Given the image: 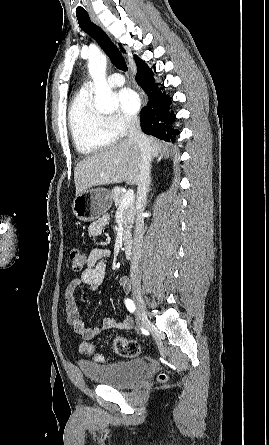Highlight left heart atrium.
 I'll list each match as a JSON object with an SVG mask.
<instances>
[{"instance_id": "1", "label": "left heart atrium", "mask_w": 269, "mask_h": 445, "mask_svg": "<svg viewBox=\"0 0 269 445\" xmlns=\"http://www.w3.org/2000/svg\"><path fill=\"white\" fill-rule=\"evenodd\" d=\"M117 97L123 113L126 115H135L138 112L140 107V98L134 90L124 88L119 91Z\"/></svg>"}]
</instances>
